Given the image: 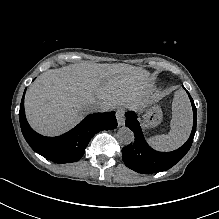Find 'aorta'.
<instances>
[{"label":"aorta","mask_w":219,"mask_h":219,"mask_svg":"<svg viewBox=\"0 0 219 219\" xmlns=\"http://www.w3.org/2000/svg\"><path fill=\"white\" fill-rule=\"evenodd\" d=\"M117 139L123 145H129L134 141V133L128 127H121L117 132Z\"/></svg>","instance_id":"762f6f07"}]
</instances>
